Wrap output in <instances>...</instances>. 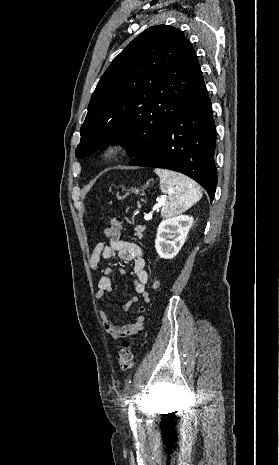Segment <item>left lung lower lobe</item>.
<instances>
[{
	"label": "left lung lower lobe",
	"instance_id": "left-lung-lower-lobe-1",
	"mask_svg": "<svg viewBox=\"0 0 279 465\" xmlns=\"http://www.w3.org/2000/svg\"><path fill=\"white\" fill-rule=\"evenodd\" d=\"M215 147L211 101L199 69L181 110L155 143L130 165L181 172L198 182L212 201L217 185Z\"/></svg>",
	"mask_w": 279,
	"mask_h": 465
}]
</instances>
